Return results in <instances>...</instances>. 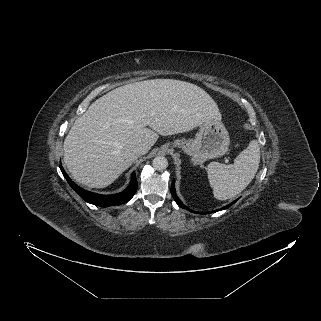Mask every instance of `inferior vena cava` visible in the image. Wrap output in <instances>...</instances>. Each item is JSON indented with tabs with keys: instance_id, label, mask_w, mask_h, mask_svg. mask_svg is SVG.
Listing matches in <instances>:
<instances>
[{
	"instance_id": "1",
	"label": "inferior vena cava",
	"mask_w": 321,
	"mask_h": 321,
	"mask_svg": "<svg viewBox=\"0 0 321 321\" xmlns=\"http://www.w3.org/2000/svg\"><path fill=\"white\" fill-rule=\"evenodd\" d=\"M150 147L146 144H138L132 148V152L135 156H141L149 151Z\"/></svg>"
}]
</instances>
